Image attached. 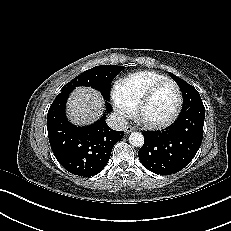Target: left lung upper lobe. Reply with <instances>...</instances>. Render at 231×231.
Segmentation results:
<instances>
[{
	"label": "left lung upper lobe",
	"instance_id": "obj_1",
	"mask_svg": "<svg viewBox=\"0 0 231 231\" xmlns=\"http://www.w3.org/2000/svg\"><path fill=\"white\" fill-rule=\"evenodd\" d=\"M169 75L179 85L183 95V108L181 113L189 110L194 106H203L199 92L190 84L185 82L183 79L177 77L173 73L169 72Z\"/></svg>",
	"mask_w": 231,
	"mask_h": 231
}]
</instances>
